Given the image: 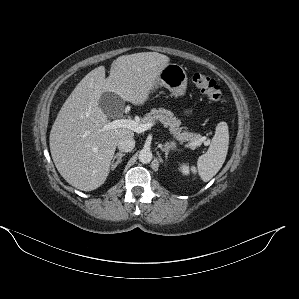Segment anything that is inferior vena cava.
Returning a JSON list of instances; mask_svg holds the SVG:
<instances>
[{"mask_svg":"<svg viewBox=\"0 0 299 299\" xmlns=\"http://www.w3.org/2000/svg\"><path fill=\"white\" fill-rule=\"evenodd\" d=\"M118 149L123 152H130L135 147V140L131 136H122L117 143Z\"/></svg>","mask_w":299,"mask_h":299,"instance_id":"obj_1","label":"inferior vena cava"}]
</instances>
